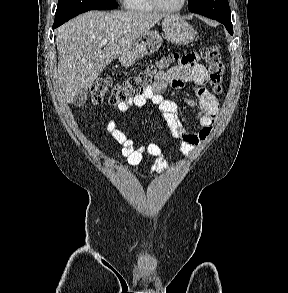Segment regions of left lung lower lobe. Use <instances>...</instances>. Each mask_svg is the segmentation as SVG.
<instances>
[{
	"label": "left lung lower lobe",
	"instance_id": "1",
	"mask_svg": "<svg viewBox=\"0 0 288 293\" xmlns=\"http://www.w3.org/2000/svg\"><path fill=\"white\" fill-rule=\"evenodd\" d=\"M221 23L224 24V26L226 27V29L228 30V32L232 35L233 34L232 23H228V22H221Z\"/></svg>",
	"mask_w": 288,
	"mask_h": 293
}]
</instances>
